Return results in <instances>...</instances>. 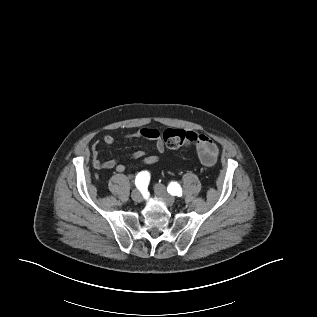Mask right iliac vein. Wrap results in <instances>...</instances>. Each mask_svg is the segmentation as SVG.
<instances>
[{
	"mask_svg": "<svg viewBox=\"0 0 317 317\" xmlns=\"http://www.w3.org/2000/svg\"><path fill=\"white\" fill-rule=\"evenodd\" d=\"M131 197L135 202H138V203L143 200L141 192L137 189L132 191Z\"/></svg>",
	"mask_w": 317,
	"mask_h": 317,
	"instance_id": "63e3f726",
	"label": "right iliac vein"
}]
</instances>
